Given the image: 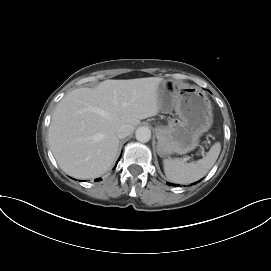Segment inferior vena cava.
<instances>
[{
  "label": "inferior vena cava",
  "mask_w": 271,
  "mask_h": 271,
  "mask_svg": "<svg viewBox=\"0 0 271 271\" xmlns=\"http://www.w3.org/2000/svg\"><path fill=\"white\" fill-rule=\"evenodd\" d=\"M130 133H131V127L129 125H121L116 131L117 137L120 139L125 138Z\"/></svg>",
  "instance_id": "602c4592"
}]
</instances>
